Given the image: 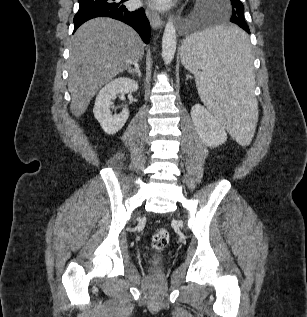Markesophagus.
Wrapping results in <instances>:
<instances>
[{
	"mask_svg": "<svg viewBox=\"0 0 307 317\" xmlns=\"http://www.w3.org/2000/svg\"><path fill=\"white\" fill-rule=\"evenodd\" d=\"M146 14L153 29H159L162 27V18L159 13L151 8H147Z\"/></svg>",
	"mask_w": 307,
	"mask_h": 317,
	"instance_id": "1",
	"label": "esophagus"
}]
</instances>
